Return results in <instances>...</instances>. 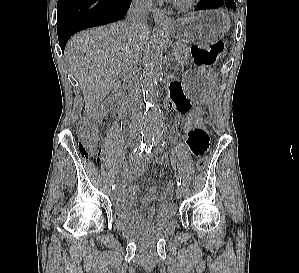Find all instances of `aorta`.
Returning a JSON list of instances; mask_svg holds the SVG:
<instances>
[{
	"mask_svg": "<svg viewBox=\"0 0 299 273\" xmlns=\"http://www.w3.org/2000/svg\"><path fill=\"white\" fill-rule=\"evenodd\" d=\"M164 40L161 33H158L148 47L145 54V67L141 76V83L144 88L146 111L144 113L141 132L142 139L151 142L163 134L164 122L163 114L159 109L158 81L162 75V57Z\"/></svg>",
	"mask_w": 299,
	"mask_h": 273,
	"instance_id": "aorta-1",
	"label": "aorta"
}]
</instances>
